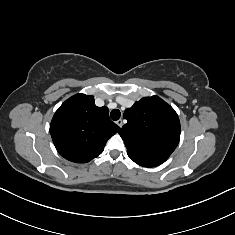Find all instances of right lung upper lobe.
Listing matches in <instances>:
<instances>
[{"label": "right lung upper lobe", "mask_w": 235, "mask_h": 235, "mask_svg": "<svg viewBox=\"0 0 235 235\" xmlns=\"http://www.w3.org/2000/svg\"><path fill=\"white\" fill-rule=\"evenodd\" d=\"M120 127L109 119L107 107H97L94 97L77 94L56 111L50 134L57 151L65 159L86 163L98 157L108 139Z\"/></svg>", "instance_id": "1"}]
</instances>
